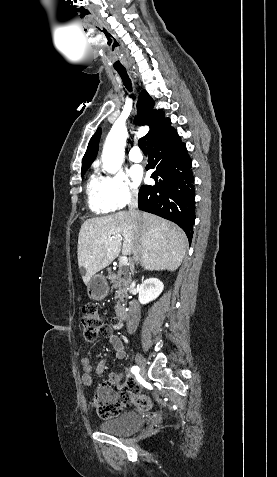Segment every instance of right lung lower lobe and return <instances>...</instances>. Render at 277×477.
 Here are the masks:
<instances>
[{
	"label": "right lung lower lobe",
	"instance_id": "1",
	"mask_svg": "<svg viewBox=\"0 0 277 477\" xmlns=\"http://www.w3.org/2000/svg\"><path fill=\"white\" fill-rule=\"evenodd\" d=\"M146 170L156 169L151 177L156 184L139 190L140 210L178 224L191 243L195 223L194 177L185 143L172 128L164 137L148 145Z\"/></svg>",
	"mask_w": 277,
	"mask_h": 477
}]
</instances>
